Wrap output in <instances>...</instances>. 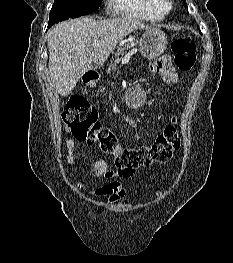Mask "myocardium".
Masks as SVG:
<instances>
[{
	"label": "myocardium",
	"mask_w": 233,
	"mask_h": 263,
	"mask_svg": "<svg viewBox=\"0 0 233 263\" xmlns=\"http://www.w3.org/2000/svg\"><path fill=\"white\" fill-rule=\"evenodd\" d=\"M163 8L168 11L172 8V0H161Z\"/></svg>",
	"instance_id": "1"
}]
</instances>
